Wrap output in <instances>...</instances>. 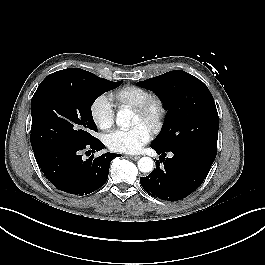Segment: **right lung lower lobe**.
I'll list each match as a JSON object with an SVG mask.
<instances>
[{"mask_svg":"<svg viewBox=\"0 0 265 265\" xmlns=\"http://www.w3.org/2000/svg\"><path fill=\"white\" fill-rule=\"evenodd\" d=\"M100 151L104 144L96 139L83 146H56L34 151L45 177L59 190L86 195L102 187L108 179L111 160L120 154L106 153L84 160L82 151Z\"/></svg>","mask_w":265,"mask_h":265,"instance_id":"98d812e1","label":"right lung lower lobe"}]
</instances>
